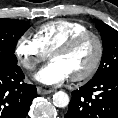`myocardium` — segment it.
Returning a JSON list of instances; mask_svg holds the SVG:
<instances>
[{
	"label": "myocardium",
	"instance_id": "obj_1",
	"mask_svg": "<svg viewBox=\"0 0 118 118\" xmlns=\"http://www.w3.org/2000/svg\"><path fill=\"white\" fill-rule=\"evenodd\" d=\"M87 39H92L94 41L96 45V55L92 64L84 73L70 76V79L75 82L85 81L91 78L98 70L104 56V43L102 38L92 31H85L69 38L51 53V57L55 54L68 53Z\"/></svg>",
	"mask_w": 118,
	"mask_h": 118
}]
</instances>
